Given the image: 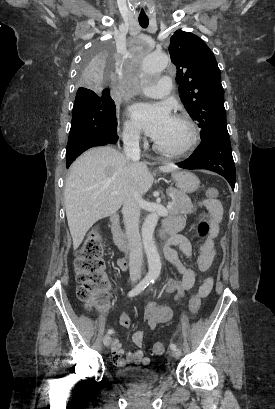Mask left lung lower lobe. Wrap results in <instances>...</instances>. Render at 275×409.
Returning <instances> with one entry per match:
<instances>
[{
	"mask_svg": "<svg viewBox=\"0 0 275 409\" xmlns=\"http://www.w3.org/2000/svg\"><path fill=\"white\" fill-rule=\"evenodd\" d=\"M179 167L214 171L222 175L234 190L236 171L229 135H217L202 142Z\"/></svg>",
	"mask_w": 275,
	"mask_h": 409,
	"instance_id": "left-lung-lower-lobe-1",
	"label": "left lung lower lobe"
}]
</instances>
